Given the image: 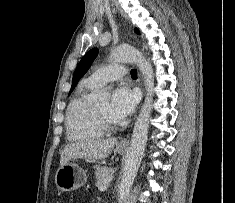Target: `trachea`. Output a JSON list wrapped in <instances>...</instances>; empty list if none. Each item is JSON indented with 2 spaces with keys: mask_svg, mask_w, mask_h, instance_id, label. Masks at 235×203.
I'll list each match as a JSON object with an SVG mask.
<instances>
[{
  "mask_svg": "<svg viewBox=\"0 0 235 203\" xmlns=\"http://www.w3.org/2000/svg\"><path fill=\"white\" fill-rule=\"evenodd\" d=\"M131 76L132 77H137V70L136 69L131 70Z\"/></svg>",
  "mask_w": 235,
  "mask_h": 203,
  "instance_id": "obj_1",
  "label": "trachea"
}]
</instances>
